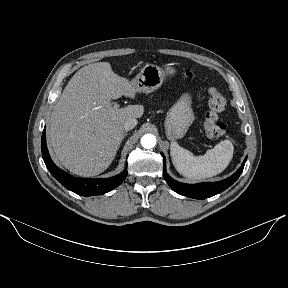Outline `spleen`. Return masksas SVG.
<instances>
[{"mask_svg": "<svg viewBox=\"0 0 288 288\" xmlns=\"http://www.w3.org/2000/svg\"><path fill=\"white\" fill-rule=\"evenodd\" d=\"M233 144L229 140L218 143L204 155L194 156L190 151L172 142L170 155L176 170L193 180H203L224 171L233 157Z\"/></svg>", "mask_w": 288, "mask_h": 288, "instance_id": "spleen-1", "label": "spleen"}]
</instances>
